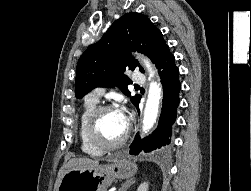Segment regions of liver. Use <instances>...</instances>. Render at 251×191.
Returning a JSON list of instances; mask_svg holds the SVG:
<instances>
[{"label":"liver","mask_w":251,"mask_h":191,"mask_svg":"<svg viewBox=\"0 0 251 191\" xmlns=\"http://www.w3.org/2000/svg\"><path fill=\"white\" fill-rule=\"evenodd\" d=\"M97 165H99V159H89V157H72V159H69V161H66V163L60 167L57 179L54 183V191H58V187L64 173H68L71 169H81V171H86V169H95Z\"/></svg>","instance_id":"6515ba94"}]
</instances>
